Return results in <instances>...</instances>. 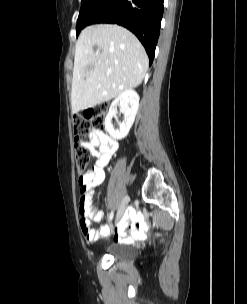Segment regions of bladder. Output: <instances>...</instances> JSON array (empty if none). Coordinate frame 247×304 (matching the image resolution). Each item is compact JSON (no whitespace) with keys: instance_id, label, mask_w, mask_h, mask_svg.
Returning a JSON list of instances; mask_svg holds the SVG:
<instances>
[{"instance_id":"31cf9c89","label":"bladder","mask_w":247,"mask_h":304,"mask_svg":"<svg viewBox=\"0 0 247 304\" xmlns=\"http://www.w3.org/2000/svg\"><path fill=\"white\" fill-rule=\"evenodd\" d=\"M109 254L115 260H128L135 254V250L125 244H114L109 249Z\"/></svg>"}]
</instances>
